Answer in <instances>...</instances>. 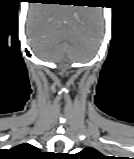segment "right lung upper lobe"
<instances>
[{"label":"right lung upper lobe","instance_id":"obj_1","mask_svg":"<svg viewBox=\"0 0 134 159\" xmlns=\"http://www.w3.org/2000/svg\"><path fill=\"white\" fill-rule=\"evenodd\" d=\"M14 149H15V151H18V152L24 154L25 156H31V155H33V153L38 151V149L36 147H34L30 144H27V143L21 144V145L15 147Z\"/></svg>","mask_w":134,"mask_h":159}]
</instances>
